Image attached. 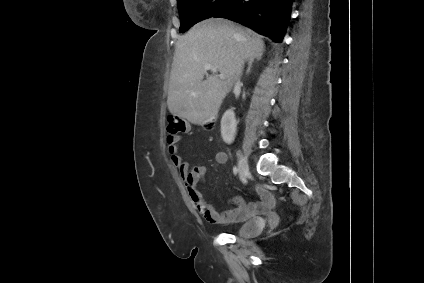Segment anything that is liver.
<instances>
[{
    "label": "liver",
    "mask_w": 424,
    "mask_h": 283,
    "mask_svg": "<svg viewBox=\"0 0 424 283\" xmlns=\"http://www.w3.org/2000/svg\"><path fill=\"white\" fill-rule=\"evenodd\" d=\"M263 50L257 33L231 21L212 18L194 25L176 43L167 99L170 113L196 125L208 123L230 92L239 64ZM206 64L224 79L212 74L203 80Z\"/></svg>",
    "instance_id": "1"
}]
</instances>
